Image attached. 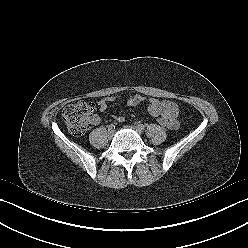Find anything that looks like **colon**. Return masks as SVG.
I'll use <instances>...</instances> for the list:
<instances>
[{"instance_id": "obj_1", "label": "colon", "mask_w": 248, "mask_h": 248, "mask_svg": "<svg viewBox=\"0 0 248 248\" xmlns=\"http://www.w3.org/2000/svg\"><path fill=\"white\" fill-rule=\"evenodd\" d=\"M93 111L94 105L91 102L81 101L67 105L62 117L73 135H82L91 121ZM157 122L163 127L169 126V121L164 117H158Z\"/></svg>"}]
</instances>
